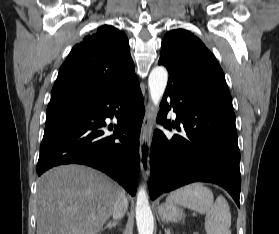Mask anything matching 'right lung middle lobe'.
I'll return each mask as SVG.
<instances>
[{
  "label": "right lung middle lobe",
  "instance_id": "dd1d6c3e",
  "mask_svg": "<svg viewBox=\"0 0 279 234\" xmlns=\"http://www.w3.org/2000/svg\"><path fill=\"white\" fill-rule=\"evenodd\" d=\"M73 107H52V108H47V115L53 114V113H57V112H61L67 109H70Z\"/></svg>",
  "mask_w": 279,
  "mask_h": 234
}]
</instances>
